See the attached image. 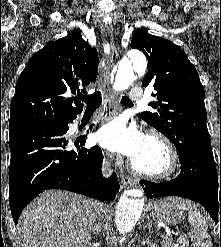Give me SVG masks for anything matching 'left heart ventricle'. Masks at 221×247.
Instances as JSON below:
<instances>
[{
    "mask_svg": "<svg viewBox=\"0 0 221 247\" xmlns=\"http://www.w3.org/2000/svg\"><path fill=\"white\" fill-rule=\"evenodd\" d=\"M134 165L150 173H159L169 167V154L159 141L146 137L138 154L132 159Z\"/></svg>",
    "mask_w": 221,
    "mask_h": 247,
    "instance_id": "obj_1",
    "label": "left heart ventricle"
}]
</instances>
